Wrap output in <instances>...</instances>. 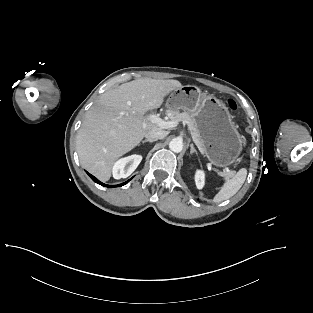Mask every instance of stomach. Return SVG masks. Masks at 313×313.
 Wrapping results in <instances>:
<instances>
[{"mask_svg":"<svg viewBox=\"0 0 313 313\" xmlns=\"http://www.w3.org/2000/svg\"><path fill=\"white\" fill-rule=\"evenodd\" d=\"M169 115L183 110L196 121L203 151L216 167L231 165L243 149L240 135L226 105L197 86L185 85L171 91L166 102Z\"/></svg>","mask_w":313,"mask_h":313,"instance_id":"stomach-1","label":"stomach"}]
</instances>
